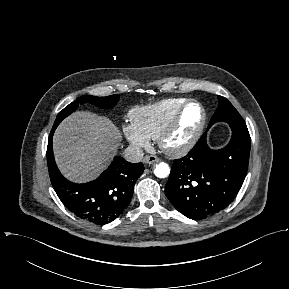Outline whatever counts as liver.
I'll return each mask as SVG.
<instances>
[{
	"label": "liver",
	"mask_w": 289,
	"mask_h": 289,
	"mask_svg": "<svg viewBox=\"0 0 289 289\" xmlns=\"http://www.w3.org/2000/svg\"><path fill=\"white\" fill-rule=\"evenodd\" d=\"M120 133L105 117L91 112L71 114L56 129L53 149L60 171L82 183L96 178L117 152Z\"/></svg>",
	"instance_id": "liver-1"
}]
</instances>
